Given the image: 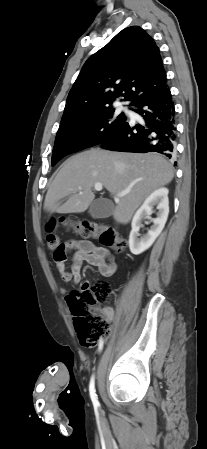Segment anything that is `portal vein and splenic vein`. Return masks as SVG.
<instances>
[{
  "label": "portal vein and splenic vein",
  "instance_id": "18ae733b",
  "mask_svg": "<svg viewBox=\"0 0 207 449\" xmlns=\"http://www.w3.org/2000/svg\"><path fill=\"white\" fill-rule=\"evenodd\" d=\"M94 188H95L96 191H101V190L103 189V185H102L101 183H95ZM129 192H130V191L127 190V191H124V192L118 194V195L115 197V201H118V197L125 196V195L128 194Z\"/></svg>",
  "mask_w": 207,
  "mask_h": 449
}]
</instances>
